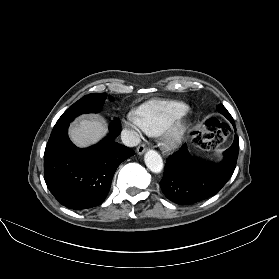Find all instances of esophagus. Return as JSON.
Wrapping results in <instances>:
<instances>
[{"label": "esophagus", "instance_id": "obj_1", "mask_svg": "<svg viewBox=\"0 0 279 279\" xmlns=\"http://www.w3.org/2000/svg\"><path fill=\"white\" fill-rule=\"evenodd\" d=\"M147 150V147L144 144H141L140 146H138L137 148V153L139 155H142L145 151Z\"/></svg>", "mask_w": 279, "mask_h": 279}]
</instances>
